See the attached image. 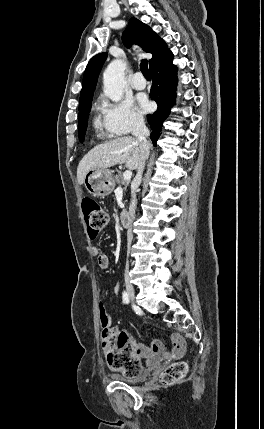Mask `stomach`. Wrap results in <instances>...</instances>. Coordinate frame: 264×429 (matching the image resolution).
I'll return each instance as SVG.
<instances>
[{
	"label": "stomach",
	"mask_w": 264,
	"mask_h": 429,
	"mask_svg": "<svg viewBox=\"0 0 264 429\" xmlns=\"http://www.w3.org/2000/svg\"><path fill=\"white\" fill-rule=\"evenodd\" d=\"M84 185L94 197H105L115 188L113 172L109 169H92L87 172Z\"/></svg>",
	"instance_id": "stomach-1"
}]
</instances>
